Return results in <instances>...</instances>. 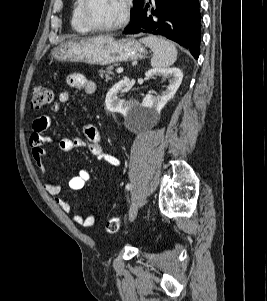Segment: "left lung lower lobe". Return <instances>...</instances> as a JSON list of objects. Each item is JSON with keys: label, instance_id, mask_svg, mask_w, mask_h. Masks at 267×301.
Instances as JSON below:
<instances>
[{"label": "left lung lower lobe", "instance_id": "obj_1", "mask_svg": "<svg viewBox=\"0 0 267 301\" xmlns=\"http://www.w3.org/2000/svg\"><path fill=\"white\" fill-rule=\"evenodd\" d=\"M155 8L148 12L144 3L123 31L124 34H152L167 37L199 57L201 14L199 0H154Z\"/></svg>", "mask_w": 267, "mask_h": 301}]
</instances>
